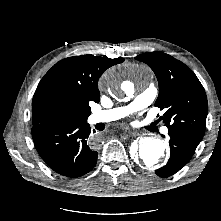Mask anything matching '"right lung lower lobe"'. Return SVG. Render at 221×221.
<instances>
[{"mask_svg":"<svg viewBox=\"0 0 221 221\" xmlns=\"http://www.w3.org/2000/svg\"><path fill=\"white\" fill-rule=\"evenodd\" d=\"M91 130L86 120L38 124L32 128L35 147L55 172L72 178L83 176L96 165Z\"/></svg>","mask_w":221,"mask_h":221,"instance_id":"1","label":"right lung lower lobe"}]
</instances>
